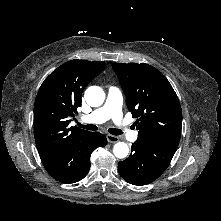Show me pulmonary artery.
Returning a JSON list of instances; mask_svg holds the SVG:
<instances>
[{
	"instance_id": "1",
	"label": "pulmonary artery",
	"mask_w": 221,
	"mask_h": 221,
	"mask_svg": "<svg viewBox=\"0 0 221 221\" xmlns=\"http://www.w3.org/2000/svg\"><path fill=\"white\" fill-rule=\"evenodd\" d=\"M122 94L121 91L114 86L108 89L107 99L103 106L97 108L92 113L82 118L83 122L100 124L109 119H112L118 128L123 132L130 140L135 141L137 139V133L131 131L124 122L122 116Z\"/></svg>"
}]
</instances>
